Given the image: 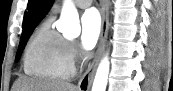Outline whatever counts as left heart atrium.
I'll list each match as a JSON object with an SVG mask.
<instances>
[{"instance_id":"1","label":"left heart atrium","mask_w":173,"mask_h":91,"mask_svg":"<svg viewBox=\"0 0 173 91\" xmlns=\"http://www.w3.org/2000/svg\"><path fill=\"white\" fill-rule=\"evenodd\" d=\"M101 31V19L95 9H88L81 17L80 45L84 50H91L97 44Z\"/></svg>"}]
</instances>
